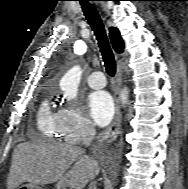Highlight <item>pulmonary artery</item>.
Returning <instances> with one entry per match:
<instances>
[{"label":"pulmonary artery","mask_w":188,"mask_h":189,"mask_svg":"<svg viewBox=\"0 0 188 189\" xmlns=\"http://www.w3.org/2000/svg\"><path fill=\"white\" fill-rule=\"evenodd\" d=\"M87 83L94 89L103 88L106 85L105 75L100 71L93 72L87 77Z\"/></svg>","instance_id":"obj_1"}]
</instances>
